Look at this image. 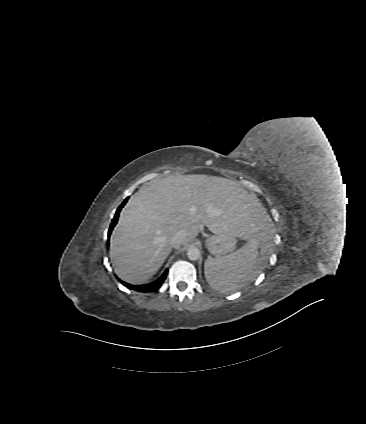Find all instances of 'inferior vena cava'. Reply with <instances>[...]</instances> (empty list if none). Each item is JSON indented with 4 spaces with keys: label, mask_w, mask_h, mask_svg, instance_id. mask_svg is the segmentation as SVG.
Listing matches in <instances>:
<instances>
[{
    "label": "inferior vena cava",
    "mask_w": 366,
    "mask_h": 424,
    "mask_svg": "<svg viewBox=\"0 0 366 424\" xmlns=\"http://www.w3.org/2000/svg\"><path fill=\"white\" fill-rule=\"evenodd\" d=\"M185 237L186 234L184 231H178L170 238L169 243L172 247H178L183 243Z\"/></svg>",
    "instance_id": "1"
}]
</instances>
